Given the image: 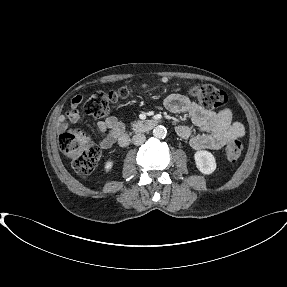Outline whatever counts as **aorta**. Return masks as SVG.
Here are the masks:
<instances>
[{
    "instance_id": "obj_1",
    "label": "aorta",
    "mask_w": 287,
    "mask_h": 287,
    "mask_svg": "<svg viewBox=\"0 0 287 287\" xmlns=\"http://www.w3.org/2000/svg\"><path fill=\"white\" fill-rule=\"evenodd\" d=\"M166 135H167V129L162 125L156 126L153 129V136L157 139H164Z\"/></svg>"
}]
</instances>
